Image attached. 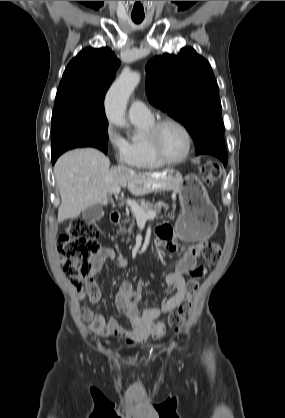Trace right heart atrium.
Wrapping results in <instances>:
<instances>
[{"label":"right heart atrium","mask_w":285,"mask_h":418,"mask_svg":"<svg viewBox=\"0 0 285 418\" xmlns=\"http://www.w3.org/2000/svg\"><path fill=\"white\" fill-rule=\"evenodd\" d=\"M105 141L118 164L130 165V153L127 143L112 126L106 128Z\"/></svg>","instance_id":"obj_1"}]
</instances>
